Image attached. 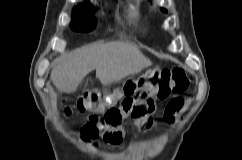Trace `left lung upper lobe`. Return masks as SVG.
<instances>
[{"mask_svg": "<svg viewBox=\"0 0 242 160\" xmlns=\"http://www.w3.org/2000/svg\"><path fill=\"white\" fill-rule=\"evenodd\" d=\"M163 12H167L165 9H162Z\"/></svg>", "mask_w": 242, "mask_h": 160, "instance_id": "5c2ea615", "label": "left lung upper lobe"}]
</instances>
